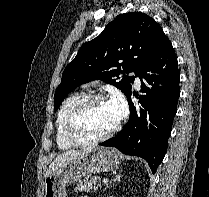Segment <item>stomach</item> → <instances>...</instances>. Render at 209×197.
<instances>
[{"label":"stomach","mask_w":209,"mask_h":197,"mask_svg":"<svg viewBox=\"0 0 209 197\" xmlns=\"http://www.w3.org/2000/svg\"><path fill=\"white\" fill-rule=\"evenodd\" d=\"M120 164L112 148L92 147L91 151L59 167L45 178L44 197H66V186L93 173L113 171Z\"/></svg>","instance_id":"obj_1"}]
</instances>
